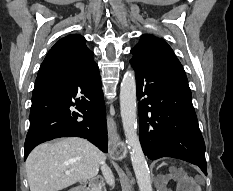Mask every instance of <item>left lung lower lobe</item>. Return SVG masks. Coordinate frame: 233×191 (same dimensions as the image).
I'll return each mask as SVG.
<instances>
[{
    "instance_id": "left-lung-lower-lobe-1",
    "label": "left lung lower lobe",
    "mask_w": 233,
    "mask_h": 191,
    "mask_svg": "<svg viewBox=\"0 0 233 191\" xmlns=\"http://www.w3.org/2000/svg\"><path fill=\"white\" fill-rule=\"evenodd\" d=\"M130 62L136 74L144 154L151 160L179 158L198 165L207 175L205 143L187 78L157 66Z\"/></svg>"
}]
</instances>
